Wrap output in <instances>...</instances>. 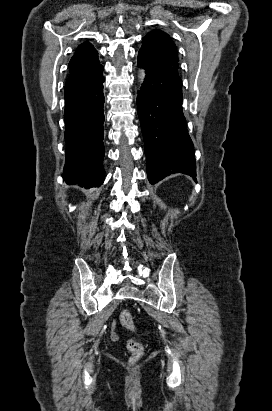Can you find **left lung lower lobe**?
Wrapping results in <instances>:
<instances>
[{"mask_svg": "<svg viewBox=\"0 0 272 411\" xmlns=\"http://www.w3.org/2000/svg\"><path fill=\"white\" fill-rule=\"evenodd\" d=\"M138 66L147 71L137 97L149 182L172 173L196 176L194 148L182 110V81L142 51Z\"/></svg>", "mask_w": 272, "mask_h": 411, "instance_id": "0a47b994", "label": "left lung lower lobe"}]
</instances>
